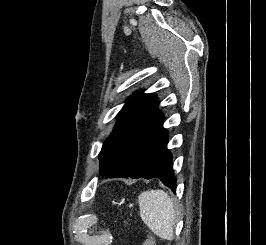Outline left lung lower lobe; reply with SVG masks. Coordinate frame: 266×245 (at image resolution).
I'll return each instance as SVG.
<instances>
[{"mask_svg":"<svg viewBox=\"0 0 266 245\" xmlns=\"http://www.w3.org/2000/svg\"><path fill=\"white\" fill-rule=\"evenodd\" d=\"M164 117L140 142L135 160L124 175L145 179L159 178L164 185L176 192V178L172 170V156L166 148L168 132L162 127Z\"/></svg>","mask_w":266,"mask_h":245,"instance_id":"left-lung-lower-lobe-1","label":"left lung lower lobe"}]
</instances>
